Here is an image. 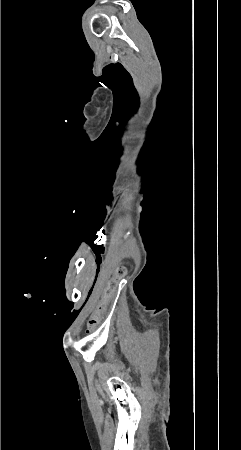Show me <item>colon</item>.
Instances as JSON below:
<instances>
[{
	"instance_id": "obj_1",
	"label": "colon",
	"mask_w": 241,
	"mask_h": 450,
	"mask_svg": "<svg viewBox=\"0 0 241 450\" xmlns=\"http://www.w3.org/2000/svg\"><path fill=\"white\" fill-rule=\"evenodd\" d=\"M126 274V269L124 266H119L116 270V277L121 278ZM118 283L116 280H109L104 291L103 295L97 303L94 313L88 320L87 330L92 331L99 323L100 317L105 316V312L108 310V306L113 300V296L117 291Z\"/></svg>"
}]
</instances>
